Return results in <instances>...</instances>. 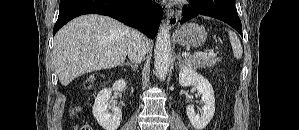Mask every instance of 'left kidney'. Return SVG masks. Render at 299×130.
Returning a JSON list of instances; mask_svg holds the SVG:
<instances>
[{"label": "left kidney", "mask_w": 299, "mask_h": 130, "mask_svg": "<svg viewBox=\"0 0 299 130\" xmlns=\"http://www.w3.org/2000/svg\"><path fill=\"white\" fill-rule=\"evenodd\" d=\"M179 84L183 87L195 85L199 94L202 95L204 106L201 115L196 114L194 106L191 104L187 106L186 111L189 121L195 130H203L215 113V98L211 84L202 75L189 67H182L180 69Z\"/></svg>", "instance_id": "obj_1"}]
</instances>
